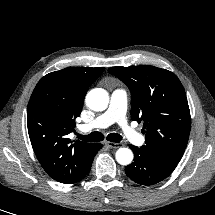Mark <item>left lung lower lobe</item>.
I'll return each mask as SVG.
<instances>
[{
    "mask_svg": "<svg viewBox=\"0 0 215 215\" xmlns=\"http://www.w3.org/2000/svg\"><path fill=\"white\" fill-rule=\"evenodd\" d=\"M134 162L126 166L127 176L141 185H153L168 177L176 167L158 159L148 148L129 145Z\"/></svg>",
    "mask_w": 215,
    "mask_h": 215,
    "instance_id": "obj_1",
    "label": "left lung lower lobe"
}]
</instances>
